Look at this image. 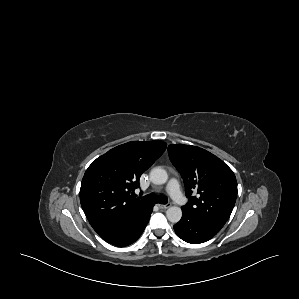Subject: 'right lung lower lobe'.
Here are the masks:
<instances>
[{
	"label": "right lung lower lobe",
	"instance_id": "98d812e1",
	"mask_svg": "<svg viewBox=\"0 0 299 299\" xmlns=\"http://www.w3.org/2000/svg\"><path fill=\"white\" fill-rule=\"evenodd\" d=\"M153 205L138 218L96 231L105 241L123 247L135 242L144 231Z\"/></svg>",
	"mask_w": 299,
	"mask_h": 299
}]
</instances>
